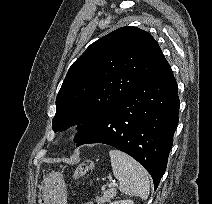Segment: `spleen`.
Listing matches in <instances>:
<instances>
[{
	"mask_svg": "<svg viewBox=\"0 0 212 204\" xmlns=\"http://www.w3.org/2000/svg\"><path fill=\"white\" fill-rule=\"evenodd\" d=\"M114 176L120 181L119 190L146 200L150 193L149 178L140 163L122 151H109Z\"/></svg>",
	"mask_w": 212,
	"mask_h": 204,
	"instance_id": "3e777b00",
	"label": "spleen"
}]
</instances>
